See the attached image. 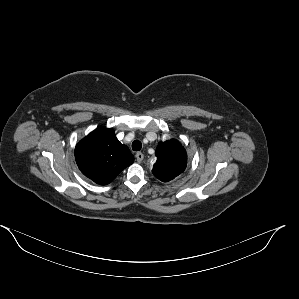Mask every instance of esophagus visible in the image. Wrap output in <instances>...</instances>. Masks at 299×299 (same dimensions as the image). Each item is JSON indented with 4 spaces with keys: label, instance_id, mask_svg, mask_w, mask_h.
Here are the masks:
<instances>
[{
    "label": "esophagus",
    "instance_id": "1",
    "mask_svg": "<svg viewBox=\"0 0 299 299\" xmlns=\"http://www.w3.org/2000/svg\"><path fill=\"white\" fill-rule=\"evenodd\" d=\"M135 156H136L137 162H141L144 158V154L141 152H137Z\"/></svg>",
    "mask_w": 299,
    "mask_h": 299
}]
</instances>
